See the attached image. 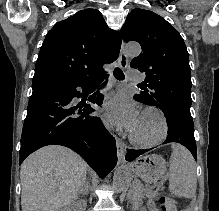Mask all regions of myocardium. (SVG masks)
Instances as JSON below:
<instances>
[{
	"instance_id": "1",
	"label": "myocardium",
	"mask_w": 219,
	"mask_h": 211,
	"mask_svg": "<svg viewBox=\"0 0 219 211\" xmlns=\"http://www.w3.org/2000/svg\"><path fill=\"white\" fill-rule=\"evenodd\" d=\"M150 112L158 115L161 120V128L159 133L152 138H142L135 135L131 131L129 134V139L133 144H137L141 146H152L162 141L166 137L168 132V119L166 114L156 106H147L141 111L140 116Z\"/></svg>"
}]
</instances>
